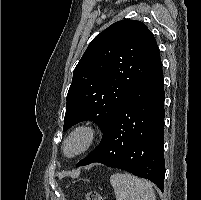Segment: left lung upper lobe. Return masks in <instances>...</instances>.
<instances>
[{
    "mask_svg": "<svg viewBox=\"0 0 201 200\" xmlns=\"http://www.w3.org/2000/svg\"><path fill=\"white\" fill-rule=\"evenodd\" d=\"M159 60L157 42L144 23L124 19L110 25L91 41L74 69L63 130L85 120L103 130Z\"/></svg>",
    "mask_w": 201,
    "mask_h": 200,
    "instance_id": "obj_1",
    "label": "left lung upper lobe"
}]
</instances>
